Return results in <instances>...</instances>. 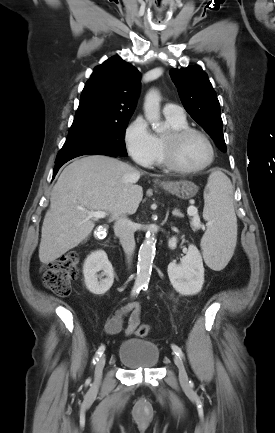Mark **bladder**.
<instances>
[{"instance_id": "bladder-1", "label": "bladder", "mask_w": 275, "mask_h": 433, "mask_svg": "<svg viewBox=\"0 0 275 433\" xmlns=\"http://www.w3.org/2000/svg\"><path fill=\"white\" fill-rule=\"evenodd\" d=\"M160 351L148 340L128 338L119 346L118 360L133 368L151 369L158 364Z\"/></svg>"}]
</instances>
